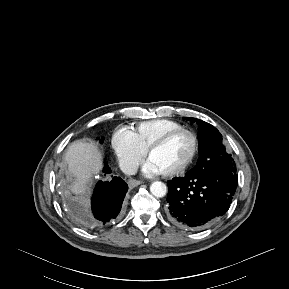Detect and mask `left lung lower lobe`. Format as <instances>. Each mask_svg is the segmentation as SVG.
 I'll use <instances>...</instances> for the list:
<instances>
[{"mask_svg": "<svg viewBox=\"0 0 289 289\" xmlns=\"http://www.w3.org/2000/svg\"><path fill=\"white\" fill-rule=\"evenodd\" d=\"M238 176L228 165L188 171L168 181L167 217L182 228L207 227L229 209Z\"/></svg>", "mask_w": 289, "mask_h": 289, "instance_id": "0a47b994", "label": "left lung lower lobe"}]
</instances>
